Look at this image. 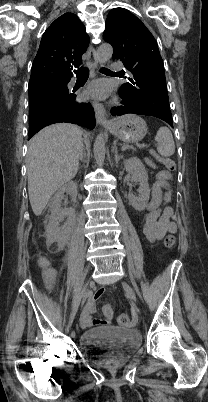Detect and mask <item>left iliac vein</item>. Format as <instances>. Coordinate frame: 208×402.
Segmentation results:
<instances>
[{
  "label": "left iliac vein",
  "mask_w": 208,
  "mask_h": 402,
  "mask_svg": "<svg viewBox=\"0 0 208 402\" xmlns=\"http://www.w3.org/2000/svg\"><path fill=\"white\" fill-rule=\"evenodd\" d=\"M123 288L126 292L127 297L130 299L132 303H136V295L134 290L126 283L122 282Z\"/></svg>",
  "instance_id": "4c4485c4"
}]
</instances>
